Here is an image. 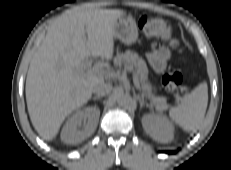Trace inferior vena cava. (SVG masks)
Segmentation results:
<instances>
[{"mask_svg":"<svg viewBox=\"0 0 231 170\" xmlns=\"http://www.w3.org/2000/svg\"><path fill=\"white\" fill-rule=\"evenodd\" d=\"M112 90V85L105 83L103 80L96 83L93 87V92L97 95V96H105L107 94H109Z\"/></svg>","mask_w":231,"mask_h":170,"instance_id":"obj_1","label":"inferior vena cava"}]
</instances>
